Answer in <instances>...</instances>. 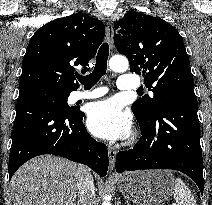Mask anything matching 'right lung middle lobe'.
<instances>
[{
  "label": "right lung middle lobe",
  "mask_w": 212,
  "mask_h": 205,
  "mask_svg": "<svg viewBox=\"0 0 212 205\" xmlns=\"http://www.w3.org/2000/svg\"><path fill=\"white\" fill-rule=\"evenodd\" d=\"M69 94L70 93H61V94L52 95L53 99L51 100V102L59 105L64 111L75 112V109L73 107H69L67 105V98ZM27 96L39 97V92L31 93V94H28Z\"/></svg>",
  "instance_id": "right-lung-middle-lobe-1"
}]
</instances>
